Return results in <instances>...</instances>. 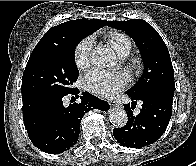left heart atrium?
I'll return each instance as SVG.
<instances>
[{
	"label": "left heart atrium",
	"instance_id": "1",
	"mask_svg": "<svg viewBox=\"0 0 196 166\" xmlns=\"http://www.w3.org/2000/svg\"><path fill=\"white\" fill-rule=\"evenodd\" d=\"M129 82V76L124 72H107L92 70L84 78V87L93 93L112 96L122 91Z\"/></svg>",
	"mask_w": 196,
	"mask_h": 166
}]
</instances>
